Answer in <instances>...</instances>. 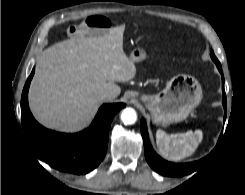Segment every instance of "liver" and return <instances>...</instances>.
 <instances>
[{"instance_id":"1","label":"liver","mask_w":245,"mask_h":195,"mask_svg":"<svg viewBox=\"0 0 245 195\" xmlns=\"http://www.w3.org/2000/svg\"><path fill=\"white\" fill-rule=\"evenodd\" d=\"M125 25L102 36L71 38L45 49L38 58L29 90L35 118L45 127L76 132L86 127L103 102L121 89L115 82L136 76L134 62L123 50Z\"/></svg>"}]
</instances>
